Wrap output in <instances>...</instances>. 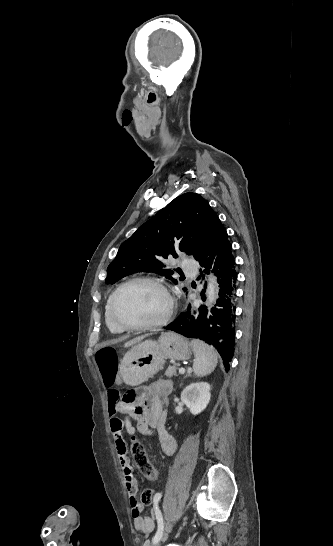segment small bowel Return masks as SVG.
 Returning a JSON list of instances; mask_svg holds the SVG:
<instances>
[{
  "instance_id": "small-bowel-1",
  "label": "small bowel",
  "mask_w": 333,
  "mask_h": 546,
  "mask_svg": "<svg viewBox=\"0 0 333 546\" xmlns=\"http://www.w3.org/2000/svg\"><path fill=\"white\" fill-rule=\"evenodd\" d=\"M114 378V386H122L123 375L117 374ZM172 387L173 385L170 380L160 379L138 389L136 392V403L133 406L128 407L124 403L110 402V429L129 493L134 528L144 533H151L155 529L157 517L162 514L160 501L163 495L161 493L155 495L150 516L141 515L143 507L137 499L139 482L130 465L123 430L133 437L137 434L156 437L162 452L167 456L173 455L176 451L177 443L164 426V410L168 405ZM119 412L126 413L127 416L121 418L117 416ZM130 418L137 421L136 427L132 426ZM157 478L158 472L149 479L154 481Z\"/></svg>"
}]
</instances>
